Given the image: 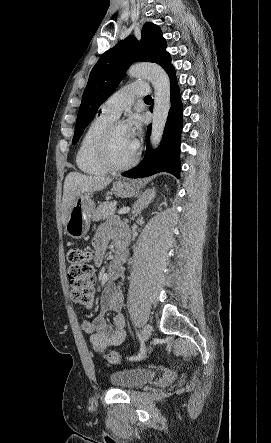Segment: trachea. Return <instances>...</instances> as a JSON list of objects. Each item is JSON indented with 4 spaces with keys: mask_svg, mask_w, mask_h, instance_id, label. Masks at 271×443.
Listing matches in <instances>:
<instances>
[{
    "mask_svg": "<svg viewBox=\"0 0 271 443\" xmlns=\"http://www.w3.org/2000/svg\"><path fill=\"white\" fill-rule=\"evenodd\" d=\"M149 100H152V98L150 96H147L144 98V101H149Z\"/></svg>",
    "mask_w": 271,
    "mask_h": 443,
    "instance_id": "obj_1",
    "label": "trachea"
}]
</instances>
